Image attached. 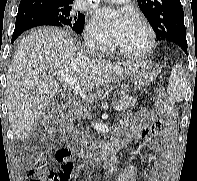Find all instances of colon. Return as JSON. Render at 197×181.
Listing matches in <instances>:
<instances>
[{
	"label": "colon",
	"instance_id": "5ec220e1",
	"mask_svg": "<svg viewBox=\"0 0 197 181\" xmlns=\"http://www.w3.org/2000/svg\"><path fill=\"white\" fill-rule=\"evenodd\" d=\"M157 111L169 123H174L177 119V112L173 103L166 97L163 92H160L156 101ZM55 122L49 117H45L38 124L34 133L38 137L47 136L54 128ZM32 168L28 181H69L73 173L72 154L67 149H61L55 154V161L59 164V169L56 172L49 171L46 167V159L43 154L36 153L31 156Z\"/></svg>",
	"mask_w": 197,
	"mask_h": 181
}]
</instances>
